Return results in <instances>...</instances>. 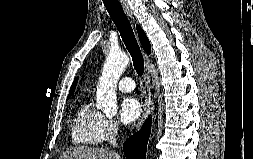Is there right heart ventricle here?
Segmentation results:
<instances>
[{"instance_id":"e07e8e85","label":"right heart ventricle","mask_w":253,"mask_h":159,"mask_svg":"<svg viewBox=\"0 0 253 159\" xmlns=\"http://www.w3.org/2000/svg\"><path fill=\"white\" fill-rule=\"evenodd\" d=\"M71 139L75 145L84 147L104 142V116L88 102L82 103L74 113Z\"/></svg>"}]
</instances>
